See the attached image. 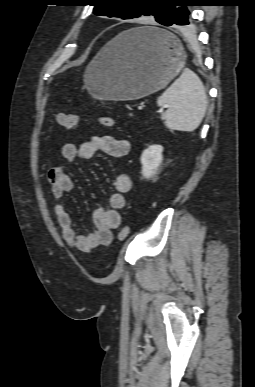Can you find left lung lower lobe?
I'll return each mask as SVG.
<instances>
[{
	"mask_svg": "<svg viewBox=\"0 0 255 387\" xmlns=\"http://www.w3.org/2000/svg\"><path fill=\"white\" fill-rule=\"evenodd\" d=\"M190 0L184 1L179 3L176 7V11L174 16L165 24V26H174L177 27V25H189L191 18H190V12L187 9L186 6H192ZM143 38L150 39V40H158L160 39V34L155 31H146L141 34Z\"/></svg>",
	"mask_w": 255,
	"mask_h": 387,
	"instance_id": "1",
	"label": "left lung lower lobe"
}]
</instances>
